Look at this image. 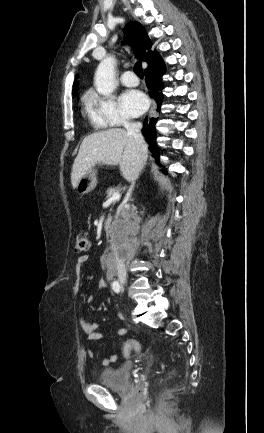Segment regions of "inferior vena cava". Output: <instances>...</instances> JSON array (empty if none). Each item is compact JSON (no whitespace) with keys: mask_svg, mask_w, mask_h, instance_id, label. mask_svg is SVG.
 <instances>
[{"mask_svg":"<svg viewBox=\"0 0 264 433\" xmlns=\"http://www.w3.org/2000/svg\"><path fill=\"white\" fill-rule=\"evenodd\" d=\"M123 125L126 128L127 133L134 138V140L136 142V145H137V149H138L139 153L143 157V155H144V153H145V151L147 149V145H146L144 137H143V135L141 133L142 123H140V122L124 121ZM140 162H141V160H140ZM136 178L137 177L132 178L130 180L131 181V186H130V188L128 190L127 198H129L130 195H131V193H132V190H133V187H134V181H135ZM121 255L122 254H119L118 260L116 261L117 274H118V277L120 279H125L126 278V268H125V265H124L123 261L121 260Z\"/></svg>","mask_w":264,"mask_h":433,"instance_id":"1","label":"inferior vena cava"}]
</instances>
